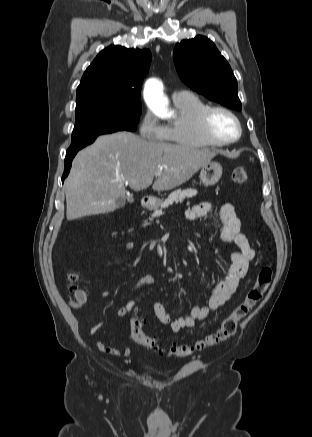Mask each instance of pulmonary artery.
<instances>
[{
	"instance_id": "1",
	"label": "pulmonary artery",
	"mask_w": 312,
	"mask_h": 437,
	"mask_svg": "<svg viewBox=\"0 0 312 437\" xmlns=\"http://www.w3.org/2000/svg\"><path fill=\"white\" fill-rule=\"evenodd\" d=\"M185 94H186V92H183V91H174L172 93V99H173V101L178 100V99L182 98Z\"/></svg>"
}]
</instances>
